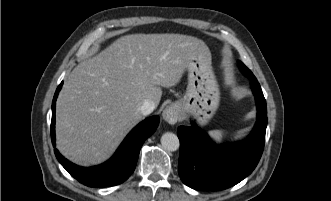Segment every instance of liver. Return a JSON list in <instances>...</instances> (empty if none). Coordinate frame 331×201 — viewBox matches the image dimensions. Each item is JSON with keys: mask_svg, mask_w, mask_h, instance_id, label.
Returning <instances> with one entry per match:
<instances>
[{"mask_svg": "<svg viewBox=\"0 0 331 201\" xmlns=\"http://www.w3.org/2000/svg\"><path fill=\"white\" fill-rule=\"evenodd\" d=\"M209 50L182 34L120 37L68 75L57 99V148L70 161L90 166L108 159L142 118L145 100L159 104L161 87L176 85L188 62Z\"/></svg>", "mask_w": 331, "mask_h": 201, "instance_id": "1", "label": "liver"}]
</instances>
